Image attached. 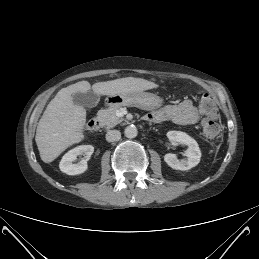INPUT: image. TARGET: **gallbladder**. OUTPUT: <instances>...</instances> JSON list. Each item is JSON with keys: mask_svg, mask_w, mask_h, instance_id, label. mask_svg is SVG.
<instances>
[{"mask_svg": "<svg viewBox=\"0 0 259 259\" xmlns=\"http://www.w3.org/2000/svg\"><path fill=\"white\" fill-rule=\"evenodd\" d=\"M73 103L86 108H93L98 104L99 97L92 91L86 93L77 92L72 94Z\"/></svg>", "mask_w": 259, "mask_h": 259, "instance_id": "obj_1", "label": "gallbladder"}]
</instances>
